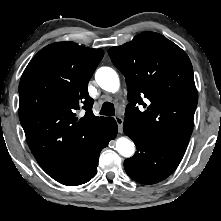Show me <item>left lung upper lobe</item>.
Listing matches in <instances>:
<instances>
[{
  "label": "left lung upper lobe",
  "instance_id": "left-lung-upper-lobe-1",
  "mask_svg": "<svg viewBox=\"0 0 221 221\" xmlns=\"http://www.w3.org/2000/svg\"><path fill=\"white\" fill-rule=\"evenodd\" d=\"M108 54L126 78L129 104L125 120L152 137L187 147L197 106L193 68L187 54L155 32H144ZM142 98L150 101L149 105ZM137 104L146 110L139 111Z\"/></svg>",
  "mask_w": 221,
  "mask_h": 221
}]
</instances>
